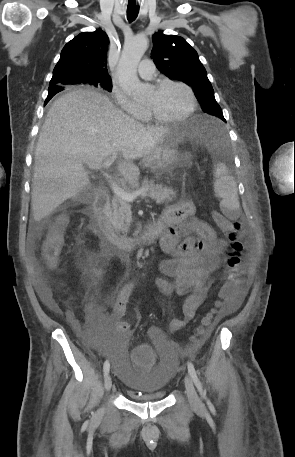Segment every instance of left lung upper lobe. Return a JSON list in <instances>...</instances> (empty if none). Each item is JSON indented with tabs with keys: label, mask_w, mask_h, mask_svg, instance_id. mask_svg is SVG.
<instances>
[{
	"label": "left lung upper lobe",
	"mask_w": 295,
	"mask_h": 457,
	"mask_svg": "<svg viewBox=\"0 0 295 457\" xmlns=\"http://www.w3.org/2000/svg\"><path fill=\"white\" fill-rule=\"evenodd\" d=\"M152 58L160 72L193 88L203 111L225 121L212 85L196 50L183 37L157 32L152 36Z\"/></svg>",
	"instance_id": "obj_1"
}]
</instances>
